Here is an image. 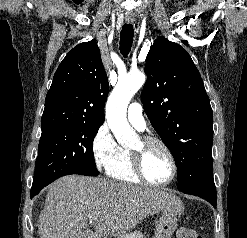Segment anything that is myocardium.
I'll return each mask as SVG.
<instances>
[{
    "label": "myocardium",
    "instance_id": "obj_1",
    "mask_svg": "<svg viewBox=\"0 0 247 238\" xmlns=\"http://www.w3.org/2000/svg\"><path fill=\"white\" fill-rule=\"evenodd\" d=\"M139 142H140L139 148L130 149L133 168H134V171H135L136 175L138 176V178L142 182H144L150 186H155V187L167 186L170 183H172L173 180L175 179L176 175H177L178 167H177L176 158H175L174 153L171 150V148L162 139L155 137V136H150V135L140 137ZM151 144H156V145L160 146L165 151V153L167 154V156L170 160L171 175L165 181L154 182V181L150 180L144 172V169H143V149L146 148L147 146L151 145Z\"/></svg>",
    "mask_w": 247,
    "mask_h": 238
}]
</instances>
